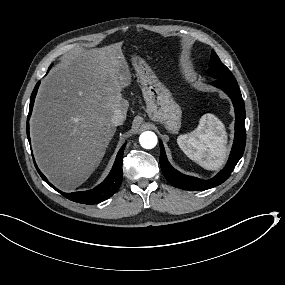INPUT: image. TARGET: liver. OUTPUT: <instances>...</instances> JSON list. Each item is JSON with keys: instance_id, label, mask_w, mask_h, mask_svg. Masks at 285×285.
<instances>
[{"instance_id": "1", "label": "liver", "mask_w": 285, "mask_h": 285, "mask_svg": "<svg viewBox=\"0 0 285 285\" xmlns=\"http://www.w3.org/2000/svg\"><path fill=\"white\" fill-rule=\"evenodd\" d=\"M132 80L122 43L79 46L42 80L30 123L32 145L57 187L72 190L98 167L117 130L114 112L126 115L122 91Z\"/></svg>"}]
</instances>
